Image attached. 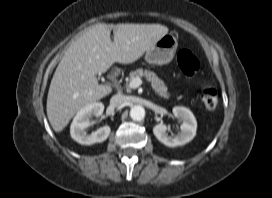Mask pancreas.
<instances>
[{
	"label": "pancreas",
	"instance_id": "1",
	"mask_svg": "<svg viewBox=\"0 0 272 198\" xmlns=\"http://www.w3.org/2000/svg\"><path fill=\"white\" fill-rule=\"evenodd\" d=\"M139 77L145 78L148 82L151 83L152 88L154 89L155 93L165 99L170 97L168 93V89L165 86L164 82L158 78V76L149 70H143L142 68L136 69L129 74V80Z\"/></svg>",
	"mask_w": 272,
	"mask_h": 198
}]
</instances>
